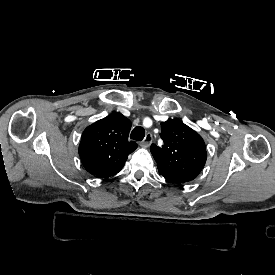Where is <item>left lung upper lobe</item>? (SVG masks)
I'll list each match as a JSON object with an SVG mask.
<instances>
[{
	"label": "left lung upper lobe",
	"mask_w": 275,
	"mask_h": 275,
	"mask_svg": "<svg viewBox=\"0 0 275 275\" xmlns=\"http://www.w3.org/2000/svg\"><path fill=\"white\" fill-rule=\"evenodd\" d=\"M161 125L164 145L152 144L150 147L159 174L176 184L195 179L207 159L204 140L180 120L169 118Z\"/></svg>",
	"instance_id": "obj_1"
}]
</instances>
